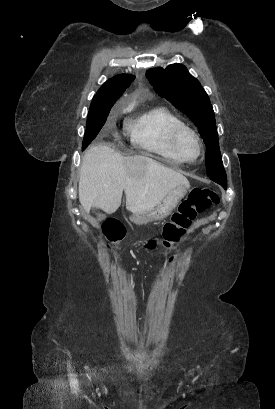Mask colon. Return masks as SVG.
<instances>
[{"label":"colon","mask_w":275,"mask_h":409,"mask_svg":"<svg viewBox=\"0 0 275 409\" xmlns=\"http://www.w3.org/2000/svg\"><path fill=\"white\" fill-rule=\"evenodd\" d=\"M218 203L219 196L215 191L207 188L193 189L181 201L178 211L173 214L171 220L165 223L161 236L148 239L145 242V248L152 250L158 246H163L166 249H171L185 238L187 230L197 214L209 216L211 214L210 207ZM103 235L106 242L119 245L124 237V227L118 221L108 220L103 226Z\"/></svg>","instance_id":"obj_1"}]
</instances>
